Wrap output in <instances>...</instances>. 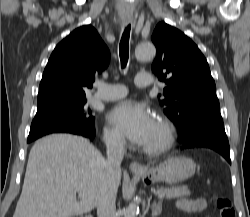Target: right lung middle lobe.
Segmentation results:
<instances>
[{
	"instance_id": "right-lung-middle-lobe-1",
	"label": "right lung middle lobe",
	"mask_w": 250,
	"mask_h": 217,
	"mask_svg": "<svg viewBox=\"0 0 250 217\" xmlns=\"http://www.w3.org/2000/svg\"><path fill=\"white\" fill-rule=\"evenodd\" d=\"M58 132L83 136L95 135V119L91 115V109L86 106V99L38 109L32 121L27 142Z\"/></svg>"
}]
</instances>
